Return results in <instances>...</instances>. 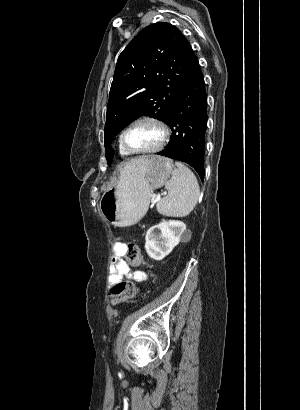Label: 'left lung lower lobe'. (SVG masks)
<instances>
[{"label":"left lung lower lobe","mask_w":300,"mask_h":410,"mask_svg":"<svg viewBox=\"0 0 300 410\" xmlns=\"http://www.w3.org/2000/svg\"><path fill=\"white\" fill-rule=\"evenodd\" d=\"M164 122L172 135L166 148L157 154L188 163L203 180L207 94L197 58Z\"/></svg>","instance_id":"1"}]
</instances>
